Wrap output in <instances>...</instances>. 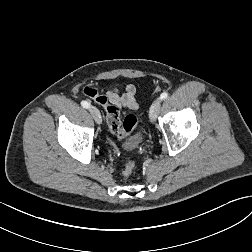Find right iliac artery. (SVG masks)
<instances>
[{"label": "right iliac artery", "instance_id": "right-iliac-artery-1", "mask_svg": "<svg viewBox=\"0 0 252 252\" xmlns=\"http://www.w3.org/2000/svg\"><path fill=\"white\" fill-rule=\"evenodd\" d=\"M82 107L88 109L90 107V104L87 101H82L81 102Z\"/></svg>", "mask_w": 252, "mask_h": 252}]
</instances>
